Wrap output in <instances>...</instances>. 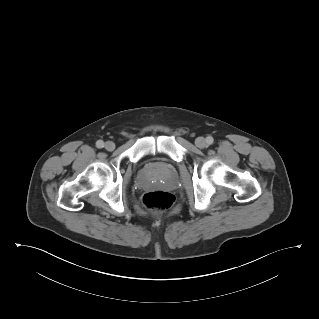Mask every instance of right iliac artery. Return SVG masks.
<instances>
[{
  "mask_svg": "<svg viewBox=\"0 0 319 319\" xmlns=\"http://www.w3.org/2000/svg\"><path fill=\"white\" fill-rule=\"evenodd\" d=\"M96 146L98 148H103L104 147V142L102 140H99V141L96 142Z\"/></svg>",
  "mask_w": 319,
  "mask_h": 319,
  "instance_id": "1",
  "label": "right iliac artery"
}]
</instances>
